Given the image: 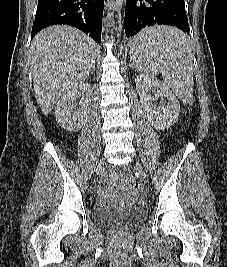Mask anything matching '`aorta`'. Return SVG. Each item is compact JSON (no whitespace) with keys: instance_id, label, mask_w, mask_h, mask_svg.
<instances>
[{"instance_id":"obj_1","label":"aorta","mask_w":227,"mask_h":267,"mask_svg":"<svg viewBox=\"0 0 227 267\" xmlns=\"http://www.w3.org/2000/svg\"><path fill=\"white\" fill-rule=\"evenodd\" d=\"M125 0H116L115 2V10L117 13L121 10Z\"/></svg>"}]
</instances>
